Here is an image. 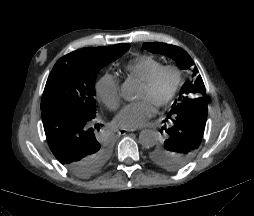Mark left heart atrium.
<instances>
[{
    "label": "left heart atrium",
    "instance_id": "obj_1",
    "mask_svg": "<svg viewBox=\"0 0 254 216\" xmlns=\"http://www.w3.org/2000/svg\"><path fill=\"white\" fill-rule=\"evenodd\" d=\"M154 113V106L148 99H141L123 108L116 123L123 128L141 126Z\"/></svg>",
    "mask_w": 254,
    "mask_h": 216
}]
</instances>
